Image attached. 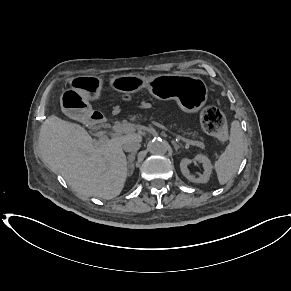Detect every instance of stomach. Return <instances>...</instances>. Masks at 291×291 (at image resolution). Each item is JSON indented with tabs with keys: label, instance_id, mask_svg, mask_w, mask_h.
<instances>
[{
	"label": "stomach",
	"instance_id": "0dacf381",
	"mask_svg": "<svg viewBox=\"0 0 291 291\" xmlns=\"http://www.w3.org/2000/svg\"><path fill=\"white\" fill-rule=\"evenodd\" d=\"M71 88L60 97L62 111L69 117L82 120L91 112L88 98H98L103 81L97 76H78L71 81ZM110 85L120 92H136L144 87L158 99H174L187 113L198 112L206 103L208 89L205 82L195 76L159 74L150 78L123 74L113 77Z\"/></svg>",
	"mask_w": 291,
	"mask_h": 291
}]
</instances>
